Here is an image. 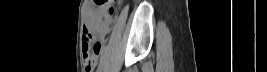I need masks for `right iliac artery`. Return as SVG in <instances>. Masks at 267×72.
Segmentation results:
<instances>
[{
	"label": "right iliac artery",
	"mask_w": 267,
	"mask_h": 72,
	"mask_svg": "<svg viewBox=\"0 0 267 72\" xmlns=\"http://www.w3.org/2000/svg\"><path fill=\"white\" fill-rule=\"evenodd\" d=\"M102 71V65L100 64L97 68V72H101Z\"/></svg>",
	"instance_id": "82829eb1"
}]
</instances>
